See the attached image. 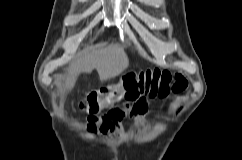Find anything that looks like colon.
Masks as SVG:
<instances>
[{"mask_svg":"<svg viewBox=\"0 0 242 160\" xmlns=\"http://www.w3.org/2000/svg\"><path fill=\"white\" fill-rule=\"evenodd\" d=\"M187 84V79L181 73L165 69L128 72L118 82L89 91L79 106L89 114L87 130L96 132L103 122H114L121 117L119 104L123 103L124 109L132 117H141L147 113L146 98L182 92ZM138 102L143 103L135 105ZM101 112H105L103 117L98 116Z\"/></svg>","mask_w":242,"mask_h":160,"instance_id":"1","label":"colon"}]
</instances>
